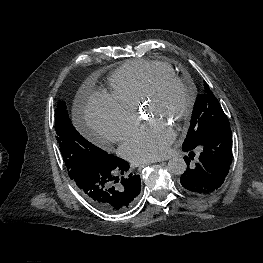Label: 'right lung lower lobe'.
Returning a JSON list of instances; mask_svg holds the SVG:
<instances>
[{
    "mask_svg": "<svg viewBox=\"0 0 263 263\" xmlns=\"http://www.w3.org/2000/svg\"><path fill=\"white\" fill-rule=\"evenodd\" d=\"M129 163L110 154L105 162L79 169L71 179L83 197L104 212L130 208L140 193L141 180L136 173L128 174ZM120 179L118 175H123Z\"/></svg>",
    "mask_w": 263,
    "mask_h": 263,
    "instance_id": "98d812e1",
    "label": "right lung lower lobe"
}]
</instances>
